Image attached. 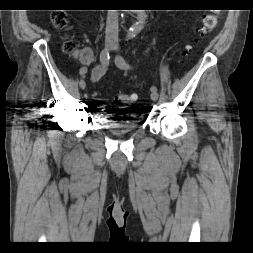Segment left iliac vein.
<instances>
[{"label": "left iliac vein", "instance_id": "obj_1", "mask_svg": "<svg viewBox=\"0 0 253 253\" xmlns=\"http://www.w3.org/2000/svg\"><path fill=\"white\" fill-rule=\"evenodd\" d=\"M112 49L114 51H118L119 50V47L117 44H114V46L112 47ZM150 97L153 101H157L158 99V93L156 91H151V94H150Z\"/></svg>", "mask_w": 253, "mask_h": 253}]
</instances>
